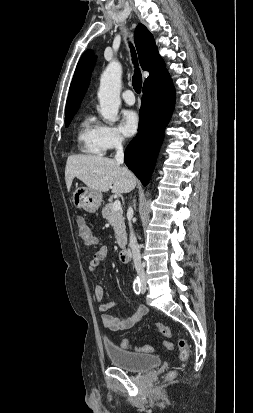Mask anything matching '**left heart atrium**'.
<instances>
[{
  "instance_id": "1",
  "label": "left heart atrium",
  "mask_w": 253,
  "mask_h": 413,
  "mask_svg": "<svg viewBox=\"0 0 253 413\" xmlns=\"http://www.w3.org/2000/svg\"><path fill=\"white\" fill-rule=\"evenodd\" d=\"M140 125L139 115L134 110H126L121 120V130L125 136L131 137L137 133Z\"/></svg>"
}]
</instances>
